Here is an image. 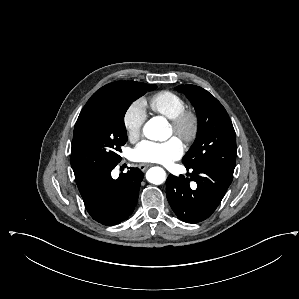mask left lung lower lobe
Instances as JSON below:
<instances>
[{"mask_svg": "<svg viewBox=\"0 0 299 299\" xmlns=\"http://www.w3.org/2000/svg\"><path fill=\"white\" fill-rule=\"evenodd\" d=\"M189 169L192 170L190 179L173 175L167 178L166 194L180 220L198 223L215 211L232 182L233 174L211 165L187 168ZM190 180L197 183L195 190L190 188Z\"/></svg>", "mask_w": 299, "mask_h": 299, "instance_id": "1", "label": "left lung lower lobe"}]
</instances>
